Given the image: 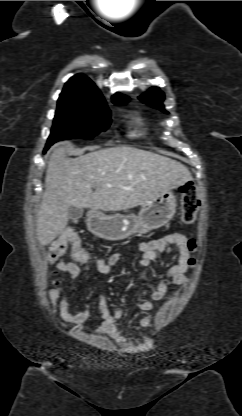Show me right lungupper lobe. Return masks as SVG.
<instances>
[{
	"label": "right lung upper lobe",
	"instance_id": "obj_1",
	"mask_svg": "<svg viewBox=\"0 0 242 416\" xmlns=\"http://www.w3.org/2000/svg\"><path fill=\"white\" fill-rule=\"evenodd\" d=\"M114 103L125 101L127 97L116 93L112 96ZM58 102L88 103L106 102L96 85L86 76L78 74L66 82Z\"/></svg>",
	"mask_w": 242,
	"mask_h": 416
}]
</instances>
